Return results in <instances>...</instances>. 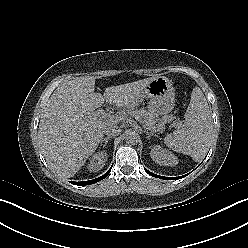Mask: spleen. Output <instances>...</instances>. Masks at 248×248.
<instances>
[{
    "instance_id": "spleen-1",
    "label": "spleen",
    "mask_w": 248,
    "mask_h": 248,
    "mask_svg": "<svg viewBox=\"0 0 248 248\" xmlns=\"http://www.w3.org/2000/svg\"><path fill=\"white\" fill-rule=\"evenodd\" d=\"M212 123L206 98L200 88L195 87L180 130L167 134L164 143L175 152L190 155L200 161L206 154L211 139Z\"/></svg>"
}]
</instances>
